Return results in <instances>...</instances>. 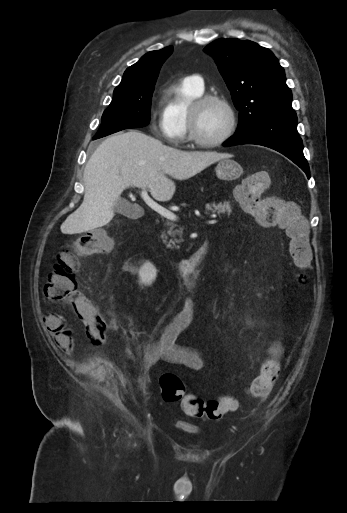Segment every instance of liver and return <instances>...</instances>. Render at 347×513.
I'll use <instances>...</instances> for the list:
<instances>
[{
	"instance_id": "obj_1",
	"label": "liver",
	"mask_w": 347,
	"mask_h": 513,
	"mask_svg": "<svg viewBox=\"0 0 347 513\" xmlns=\"http://www.w3.org/2000/svg\"><path fill=\"white\" fill-rule=\"evenodd\" d=\"M232 155L213 151L185 152L131 130L106 138L84 170L85 194L81 206L61 225L63 234H77L107 225L114 206L129 186H144L158 201H168L177 180H187L216 161Z\"/></svg>"
}]
</instances>
